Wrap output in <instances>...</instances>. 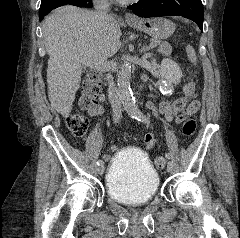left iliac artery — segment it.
Segmentation results:
<instances>
[{
    "mask_svg": "<svg viewBox=\"0 0 240 238\" xmlns=\"http://www.w3.org/2000/svg\"><path fill=\"white\" fill-rule=\"evenodd\" d=\"M137 120L140 121V122H145V123L147 122V119L143 114H139L138 117H137ZM165 157L170 159V154L166 153Z\"/></svg>",
    "mask_w": 240,
    "mask_h": 238,
    "instance_id": "left-iliac-artery-1",
    "label": "left iliac artery"
}]
</instances>
